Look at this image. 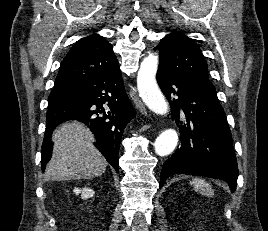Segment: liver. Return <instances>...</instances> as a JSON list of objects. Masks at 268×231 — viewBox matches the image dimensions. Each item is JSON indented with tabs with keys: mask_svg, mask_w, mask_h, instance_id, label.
<instances>
[{
	"mask_svg": "<svg viewBox=\"0 0 268 231\" xmlns=\"http://www.w3.org/2000/svg\"><path fill=\"white\" fill-rule=\"evenodd\" d=\"M53 156L46 177L53 181L92 179L101 176L107 161L93 145L94 136L79 122H66L52 135Z\"/></svg>",
	"mask_w": 268,
	"mask_h": 231,
	"instance_id": "liver-1",
	"label": "liver"
}]
</instances>
